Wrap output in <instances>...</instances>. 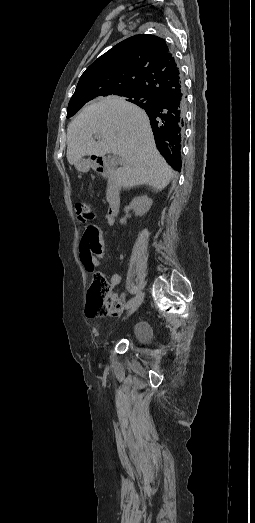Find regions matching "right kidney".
Returning a JSON list of instances; mask_svg holds the SVG:
<instances>
[{"label":"right kidney","instance_id":"obj_1","mask_svg":"<svg viewBox=\"0 0 255 523\" xmlns=\"http://www.w3.org/2000/svg\"><path fill=\"white\" fill-rule=\"evenodd\" d=\"M153 202L151 198H148V196H137V198H133L130 206L135 210L136 214H139V216H143V214H146L148 210H150ZM121 224H125L126 220H120Z\"/></svg>","mask_w":255,"mask_h":523}]
</instances>
